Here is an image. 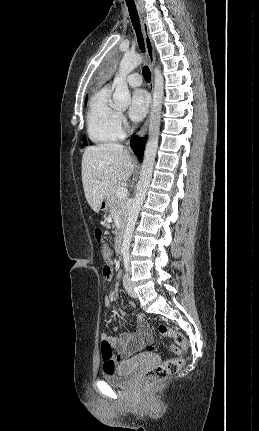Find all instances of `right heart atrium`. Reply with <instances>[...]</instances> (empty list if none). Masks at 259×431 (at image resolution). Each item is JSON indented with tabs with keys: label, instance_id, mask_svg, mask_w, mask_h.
Instances as JSON below:
<instances>
[{
	"label": "right heart atrium",
	"instance_id": "obj_1",
	"mask_svg": "<svg viewBox=\"0 0 259 431\" xmlns=\"http://www.w3.org/2000/svg\"><path fill=\"white\" fill-rule=\"evenodd\" d=\"M117 119H118V122H119L120 125H122V124L125 123V117H124V115L122 113H118Z\"/></svg>",
	"mask_w": 259,
	"mask_h": 431
}]
</instances>
